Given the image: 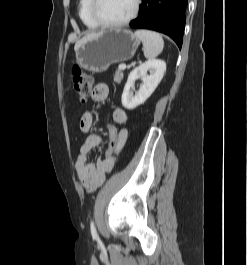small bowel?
I'll list each match as a JSON object with an SVG mask.
<instances>
[{
	"label": "small bowel",
	"mask_w": 247,
	"mask_h": 265,
	"mask_svg": "<svg viewBox=\"0 0 247 265\" xmlns=\"http://www.w3.org/2000/svg\"><path fill=\"white\" fill-rule=\"evenodd\" d=\"M109 95V87L105 83H98L92 90V99L95 102L104 101ZM127 113L121 108H117L113 112V120L115 123L123 125L127 122ZM93 125V115L90 111L85 112L80 119V129L88 135L83 140L79 156L77 158L75 169L78 179L82 183L87 192H93L99 188L106 180V173L112 169L115 161L106 162L104 158H99L92 162L88 160L90 152L102 142L101 136L89 133ZM120 146L118 152L126 143L128 132L126 129L120 131Z\"/></svg>",
	"instance_id": "c3829d8e"
}]
</instances>
